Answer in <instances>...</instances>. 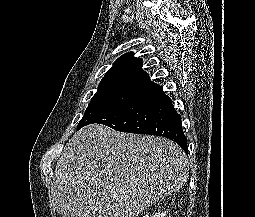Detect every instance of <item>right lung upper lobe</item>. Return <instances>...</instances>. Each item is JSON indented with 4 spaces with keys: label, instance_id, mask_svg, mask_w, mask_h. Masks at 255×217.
<instances>
[{
    "label": "right lung upper lobe",
    "instance_id": "obj_1",
    "mask_svg": "<svg viewBox=\"0 0 255 217\" xmlns=\"http://www.w3.org/2000/svg\"><path fill=\"white\" fill-rule=\"evenodd\" d=\"M153 84L142 69V59L132 52L119 57L99 84L100 88L114 86H137L146 88Z\"/></svg>",
    "mask_w": 255,
    "mask_h": 217
}]
</instances>
